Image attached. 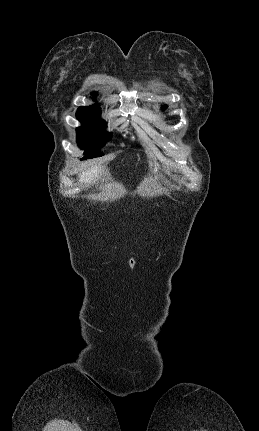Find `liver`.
Here are the masks:
<instances>
[{
  "instance_id": "6515ba94",
  "label": "liver",
  "mask_w": 259,
  "mask_h": 431,
  "mask_svg": "<svg viewBox=\"0 0 259 431\" xmlns=\"http://www.w3.org/2000/svg\"><path fill=\"white\" fill-rule=\"evenodd\" d=\"M99 174H101V167L100 166L92 167L89 170L83 171L79 175V181L81 183H85L89 185L94 181H96V179L99 177Z\"/></svg>"
}]
</instances>
